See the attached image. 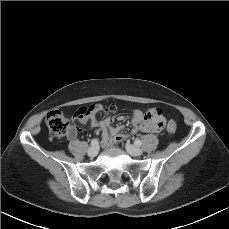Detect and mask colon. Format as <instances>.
Segmentation results:
<instances>
[{"label": "colon", "instance_id": "1", "mask_svg": "<svg viewBox=\"0 0 229 229\" xmlns=\"http://www.w3.org/2000/svg\"><path fill=\"white\" fill-rule=\"evenodd\" d=\"M99 109L97 105H90L89 107H83L78 110L80 115H88L96 112ZM107 111H114V106H109ZM144 121L149 127L153 129L160 128L164 125L165 119L162 110L150 109L144 114ZM46 125L49 129L50 134L55 138H62L67 135L73 128L66 121L60 110H52L46 117ZM177 129L175 122H169L166 130L168 133L173 134Z\"/></svg>", "mask_w": 229, "mask_h": 229}]
</instances>
